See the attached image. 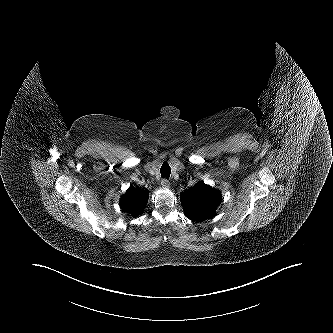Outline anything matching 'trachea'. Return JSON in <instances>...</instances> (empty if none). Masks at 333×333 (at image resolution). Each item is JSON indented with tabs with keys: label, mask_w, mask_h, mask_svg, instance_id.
Listing matches in <instances>:
<instances>
[{
	"label": "trachea",
	"mask_w": 333,
	"mask_h": 333,
	"mask_svg": "<svg viewBox=\"0 0 333 333\" xmlns=\"http://www.w3.org/2000/svg\"><path fill=\"white\" fill-rule=\"evenodd\" d=\"M161 176L168 179L170 176V167L165 164L161 167Z\"/></svg>",
	"instance_id": "1"
}]
</instances>
